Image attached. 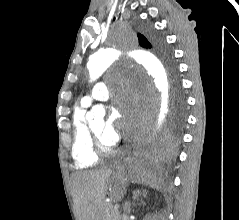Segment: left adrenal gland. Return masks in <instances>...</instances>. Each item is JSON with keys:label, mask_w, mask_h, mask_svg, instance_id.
<instances>
[{"label": "left adrenal gland", "mask_w": 239, "mask_h": 220, "mask_svg": "<svg viewBox=\"0 0 239 220\" xmlns=\"http://www.w3.org/2000/svg\"><path fill=\"white\" fill-rule=\"evenodd\" d=\"M144 197H146V195H144ZM123 209H124V211H125L127 214H130V212H131V203L126 201V202L124 203Z\"/></svg>", "instance_id": "a2214340"}]
</instances>
